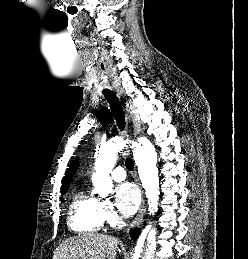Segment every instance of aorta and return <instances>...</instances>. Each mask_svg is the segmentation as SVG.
<instances>
[{
	"label": "aorta",
	"instance_id": "aorta-1",
	"mask_svg": "<svg viewBox=\"0 0 248 259\" xmlns=\"http://www.w3.org/2000/svg\"><path fill=\"white\" fill-rule=\"evenodd\" d=\"M127 141L116 137L103 144L95 162V173L92 175L94 191L101 197L111 193L113 184L109 176L112 171L118 151L126 146ZM133 156L138 168V174L148 198L149 212L154 214L158 209L159 177L156 166L157 153L148 139H141L132 144ZM156 230L149 231L144 250L138 243L133 259H154L156 250Z\"/></svg>",
	"mask_w": 248,
	"mask_h": 259
}]
</instances>
